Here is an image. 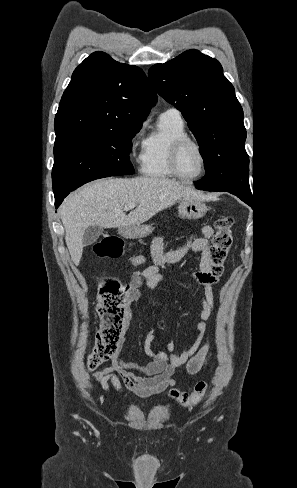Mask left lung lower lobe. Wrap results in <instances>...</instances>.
<instances>
[{
	"instance_id": "obj_1",
	"label": "left lung lower lobe",
	"mask_w": 297,
	"mask_h": 488,
	"mask_svg": "<svg viewBox=\"0 0 297 488\" xmlns=\"http://www.w3.org/2000/svg\"><path fill=\"white\" fill-rule=\"evenodd\" d=\"M232 194H234V193H232ZM234 195L237 196L242 201H244L246 204H248L249 206L252 207V197H243V196H240V195H237V194H234Z\"/></svg>"
}]
</instances>
